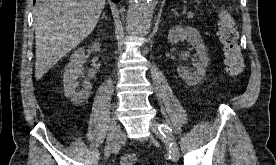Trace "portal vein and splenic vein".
<instances>
[{
	"instance_id": "1",
	"label": "portal vein and splenic vein",
	"mask_w": 276,
	"mask_h": 165,
	"mask_svg": "<svg viewBox=\"0 0 276 165\" xmlns=\"http://www.w3.org/2000/svg\"><path fill=\"white\" fill-rule=\"evenodd\" d=\"M193 15H194V14H193L192 12H189L188 15H187V17H188V18H192Z\"/></svg>"
}]
</instances>
